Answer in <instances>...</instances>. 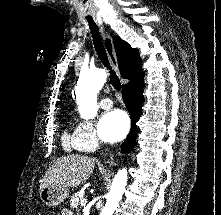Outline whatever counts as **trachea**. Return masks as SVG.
I'll return each mask as SVG.
<instances>
[{"label":"trachea","mask_w":221,"mask_h":215,"mask_svg":"<svg viewBox=\"0 0 221 215\" xmlns=\"http://www.w3.org/2000/svg\"><path fill=\"white\" fill-rule=\"evenodd\" d=\"M87 21L89 24V28L91 30L93 44H94L95 50L97 52V55H98L99 59L101 60V62L103 63V65L109 70L110 83L112 84L114 89L120 90L121 89L120 80H119L118 76L116 75V73L114 72V70L110 66V63H109L107 54L105 52V49H104V46L102 43V39L99 34L96 23L94 22L93 19H87Z\"/></svg>","instance_id":"obj_1"}]
</instances>
